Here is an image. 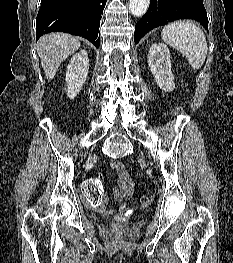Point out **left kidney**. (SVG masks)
I'll list each match as a JSON object with an SVG mask.
<instances>
[{
	"label": "left kidney",
	"mask_w": 233,
	"mask_h": 263,
	"mask_svg": "<svg viewBox=\"0 0 233 263\" xmlns=\"http://www.w3.org/2000/svg\"><path fill=\"white\" fill-rule=\"evenodd\" d=\"M147 62L159 88L165 92L173 91L175 84L168 47L163 43L153 44Z\"/></svg>",
	"instance_id": "left-kidney-1"
}]
</instances>
